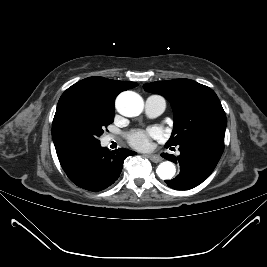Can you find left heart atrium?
I'll return each mask as SVG.
<instances>
[{
    "label": "left heart atrium",
    "instance_id": "obj_1",
    "mask_svg": "<svg viewBox=\"0 0 267 267\" xmlns=\"http://www.w3.org/2000/svg\"><path fill=\"white\" fill-rule=\"evenodd\" d=\"M159 135V132L155 128L147 130H136L128 135V142L131 146L137 149H148L150 147V141Z\"/></svg>",
    "mask_w": 267,
    "mask_h": 267
}]
</instances>
